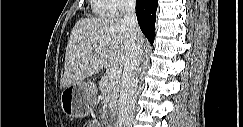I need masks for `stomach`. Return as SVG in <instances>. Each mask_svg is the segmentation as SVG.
<instances>
[{"label":"stomach","instance_id":"0dacf381","mask_svg":"<svg viewBox=\"0 0 243 127\" xmlns=\"http://www.w3.org/2000/svg\"><path fill=\"white\" fill-rule=\"evenodd\" d=\"M96 96L97 89L92 82L70 84L61 93L62 110L69 117L84 118L92 112Z\"/></svg>","mask_w":243,"mask_h":127}]
</instances>
